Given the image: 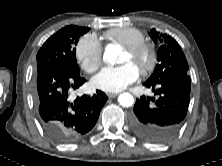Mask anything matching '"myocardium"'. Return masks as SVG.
Listing matches in <instances>:
<instances>
[{
    "label": "myocardium",
    "instance_id": "f54148a6",
    "mask_svg": "<svg viewBox=\"0 0 222 166\" xmlns=\"http://www.w3.org/2000/svg\"><path fill=\"white\" fill-rule=\"evenodd\" d=\"M125 52H127L132 57L143 56L145 58L143 65L139 68L141 73H148L154 68L156 62V53L150 44L141 42L127 46L125 47Z\"/></svg>",
    "mask_w": 222,
    "mask_h": 166
}]
</instances>
